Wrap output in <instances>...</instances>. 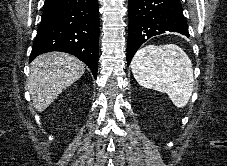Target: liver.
<instances>
[{
	"label": "liver",
	"mask_w": 227,
	"mask_h": 166,
	"mask_svg": "<svg viewBox=\"0 0 227 166\" xmlns=\"http://www.w3.org/2000/svg\"><path fill=\"white\" fill-rule=\"evenodd\" d=\"M85 72V64L63 52L42 54L31 63L28 89L33 106L44 111L59 95Z\"/></svg>",
	"instance_id": "obj_1"
}]
</instances>
